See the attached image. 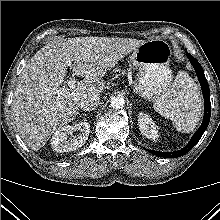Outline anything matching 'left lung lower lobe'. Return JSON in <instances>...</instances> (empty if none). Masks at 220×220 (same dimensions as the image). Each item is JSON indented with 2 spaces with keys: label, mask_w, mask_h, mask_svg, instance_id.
<instances>
[{
  "label": "left lung lower lobe",
  "mask_w": 220,
  "mask_h": 220,
  "mask_svg": "<svg viewBox=\"0 0 220 220\" xmlns=\"http://www.w3.org/2000/svg\"><path fill=\"white\" fill-rule=\"evenodd\" d=\"M187 57L189 58V60L191 61L192 65L195 68V71L197 73L198 79H199L200 84H201L203 96H204L205 109H204L203 122H202L200 128L195 132V134L191 138L190 142L183 149H181L179 151L159 152V151L147 150L146 149L147 151H149L150 153H152L156 156L166 157V158H177V157H180V156L186 154L200 140V138L202 137L204 131L208 127V124H209V121H210L211 103H210V90H209L208 82L205 78L204 71H203L202 66L200 65V63L192 55H190L188 53H187Z\"/></svg>",
  "instance_id": "1"
}]
</instances>
